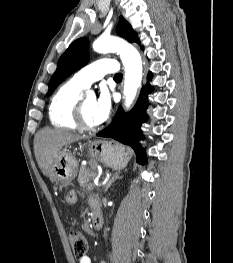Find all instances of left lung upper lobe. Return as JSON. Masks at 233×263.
<instances>
[{"label":"left lung upper lobe","instance_id":"5c2ea615","mask_svg":"<svg viewBox=\"0 0 233 263\" xmlns=\"http://www.w3.org/2000/svg\"><path fill=\"white\" fill-rule=\"evenodd\" d=\"M117 33L131 43L140 44L137 33L133 31L131 25L123 17H120ZM88 57V40L86 38L75 40L59 59L57 69L49 83L47 96L51 95L66 77L84 66L88 61Z\"/></svg>","mask_w":233,"mask_h":263}]
</instances>
